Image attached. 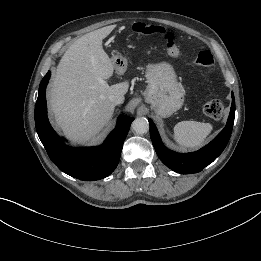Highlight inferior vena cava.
<instances>
[{"label": "inferior vena cava", "instance_id": "1", "mask_svg": "<svg viewBox=\"0 0 261 261\" xmlns=\"http://www.w3.org/2000/svg\"><path fill=\"white\" fill-rule=\"evenodd\" d=\"M109 99L115 105L122 104L124 102V96L120 94H112L109 96Z\"/></svg>", "mask_w": 261, "mask_h": 261}]
</instances>
